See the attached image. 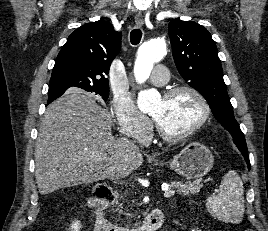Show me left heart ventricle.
Segmentation results:
<instances>
[{"label":"left heart ventricle","instance_id":"left-heart-ventricle-1","mask_svg":"<svg viewBox=\"0 0 268 231\" xmlns=\"http://www.w3.org/2000/svg\"><path fill=\"white\" fill-rule=\"evenodd\" d=\"M151 115L170 133H182L190 129L201 116V106L188 93L172 99L155 101L150 108Z\"/></svg>","mask_w":268,"mask_h":231}]
</instances>
